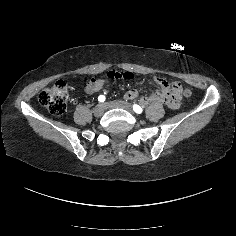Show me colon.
Returning a JSON list of instances; mask_svg holds the SVG:
<instances>
[{"mask_svg":"<svg viewBox=\"0 0 236 236\" xmlns=\"http://www.w3.org/2000/svg\"><path fill=\"white\" fill-rule=\"evenodd\" d=\"M108 78L111 80H130L133 78V74L130 72L120 73L111 71L108 73ZM174 86L180 87L177 83H175ZM182 94L185 97H190L191 90L184 88ZM68 96L69 89L67 83L63 80H59L54 85L43 89L38 96V101L42 106L47 108L51 114L59 116L66 111Z\"/></svg>","mask_w":236,"mask_h":236,"instance_id":"5ec220e1","label":"colon"}]
</instances>
